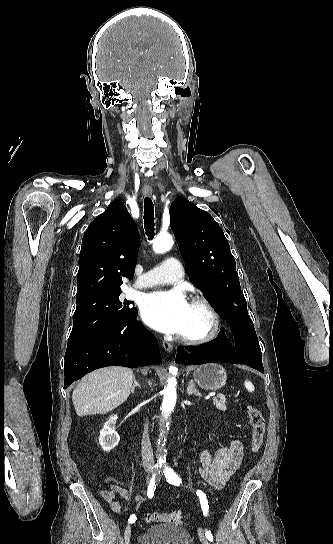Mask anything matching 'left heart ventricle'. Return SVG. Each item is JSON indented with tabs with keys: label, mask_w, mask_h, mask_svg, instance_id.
I'll return each mask as SVG.
<instances>
[{
	"label": "left heart ventricle",
	"mask_w": 333,
	"mask_h": 544,
	"mask_svg": "<svg viewBox=\"0 0 333 544\" xmlns=\"http://www.w3.org/2000/svg\"><path fill=\"white\" fill-rule=\"evenodd\" d=\"M209 327V317L205 310L197 305L190 304L186 325L182 335L197 336L205 333Z\"/></svg>",
	"instance_id": "obj_1"
}]
</instances>
